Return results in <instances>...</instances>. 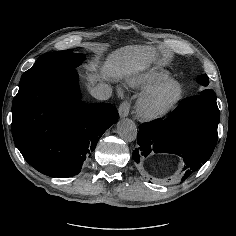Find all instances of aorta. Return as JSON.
Returning a JSON list of instances; mask_svg holds the SVG:
<instances>
[{"label":"aorta","mask_w":236,"mask_h":236,"mask_svg":"<svg viewBox=\"0 0 236 236\" xmlns=\"http://www.w3.org/2000/svg\"><path fill=\"white\" fill-rule=\"evenodd\" d=\"M117 132L123 140L132 142L136 139L137 127L132 120L122 119L117 124Z\"/></svg>","instance_id":"762f6f07"}]
</instances>
